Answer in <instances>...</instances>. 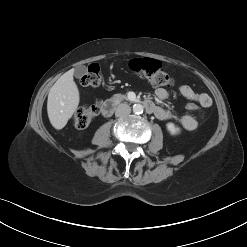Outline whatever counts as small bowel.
Here are the masks:
<instances>
[{"label": "small bowel", "instance_id": "small-bowel-1", "mask_svg": "<svg viewBox=\"0 0 247 247\" xmlns=\"http://www.w3.org/2000/svg\"><path fill=\"white\" fill-rule=\"evenodd\" d=\"M179 92L183 97L196 102L203 108L210 107L212 104V99L207 93H198L189 85H181L179 87ZM155 96L159 100H165L168 97V92L164 88H157L155 90ZM153 113L160 120L175 119L181 127L187 131L195 130L198 127V120L191 115L176 117L169 110L160 106H156Z\"/></svg>", "mask_w": 247, "mask_h": 247}]
</instances>
